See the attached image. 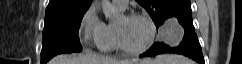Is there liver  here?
<instances>
[{
	"mask_svg": "<svg viewBox=\"0 0 242 64\" xmlns=\"http://www.w3.org/2000/svg\"><path fill=\"white\" fill-rule=\"evenodd\" d=\"M151 59H125L117 60L111 58H104L97 55H59L53 58L49 64H147L152 62Z\"/></svg>",
	"mask_w": 242,
	"mask_h": 64,
	"instance_id": "1",
	"label": "liver"
}]
</instances>
